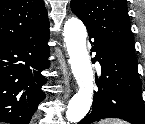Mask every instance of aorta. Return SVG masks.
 Segmentation results:
<instances>
[{
  "instance_id": "1",
  "label": "aorta",
  "mask_w": 145,
  "mask_h": 124,
  "mask_svg": "<svg viewBox=\"0 0 145 124\" xmlns=\"http://www.w3.org/2000/svg\"><path fill=\"white\" fill-rule=\"evenodd\" d=\"M69 63L78 85L77 93L70 99L66 119L70 123L81 121L92 105L94 74L86 48V27L76 17L68 19L63 31Z\"/></svg>"
}]
</instances>
